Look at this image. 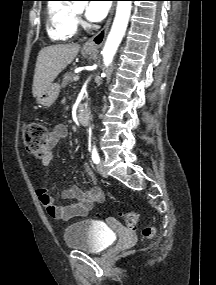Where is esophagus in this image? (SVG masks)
<instances>
[{
  "mask_svg": "<svg viewBox=\"0 0 216 285\" xmlns=\"http://www.w3.org/2000/svg\"><path fill=\"white\" fill-rule=\"evenodd\" d=\"M114 14V5L112 6L108 19L105 23V25L103 26V28L97 33L95 34L93 37H91L83 46L84 49L86 50H94L99 48L102 43L104 42V39L106 37V34L108 32V29L110 27L111 21H112V17Z\"/></svg>",
  "mask_w": 216,
  "mask_h": 285,
  "instance_id": "1",
  "label": "esophagus"
}]
</instances>
